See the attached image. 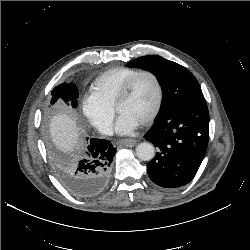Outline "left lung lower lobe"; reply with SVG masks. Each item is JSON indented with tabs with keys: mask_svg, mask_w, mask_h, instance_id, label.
<instances>
[{
	"mask_svg": "<svg viewBox=\"0 0 250 250\" xmlns=\"http://www.w3.org/2000/svg\"><path fill=\"white\" fill-rule=\"evenodd\" d=\"M208 133L209 112L204 99L156 118L144 136L157 148L155 157L147 164L149 178L164 188L189 183L205 156Z\"/></svg>",
	"mask_w": 250,
	"mask_h": 250,
	"instance_id": "1",
	"label": "left lung lower lobe"
}]
</instances>
